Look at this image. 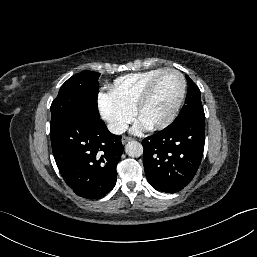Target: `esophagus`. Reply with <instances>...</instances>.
Instances as JSON below:
<instances>
[{
  "label": "esophagus",
  "mask_w": 257,
  "mask_h": 257,
  "mask_svg": "<svg viewBox=\"0 0 257 257\" xmlns=\"http://www.w3.org/2000/svg\"><path fill=\"white\" fill-rule=\"evenodd\" d=\"M131 140H132L131 137L123 136L121 141H122V144H126L127 142H129Z\"/></svg>",
  "instance_id": "34e87169"
}]
</instances>
